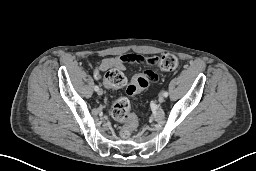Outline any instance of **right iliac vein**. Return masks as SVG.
Wrapping results in <instances>:
<instances>
[{
    "mask_svg": "<svg viewBox=\"0 0 256 171\" xmlns=\"http://www.w3.org/2000/svg\"><path fill=\"white\" fill-rule=\"evenodd\" d=\"M98 94H99V95H102V94H103V90H102V89H99V90H98Z\"/></svg>",
    "mask_w": 256,
    "mask_h": 171,
    "instance_id": "obj_1",
    "label": "right iliac vein"
}]
</instances>
